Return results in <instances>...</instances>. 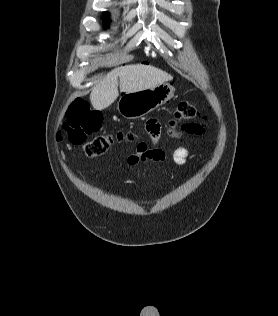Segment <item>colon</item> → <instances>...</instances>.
I'll return each instance as SVG.
<instances>
[{"label": "colon", "mask_w": 278, "mask_h": 316, "mask_svg": "<svg viewBox=\"0 0 278 316\" xmlns=\"http://www.w3.org/2000/svg\"><path fill=\"white\" fill-rule=\"evenodd\" d=\"M67 120L64 124V132L74 144H83L86 136L100 130L102 115L89 108L83 99H76L71 103L67 111ZM203 115L196 107L188 102H178L173 117L168 122V134L179 138L183 134L196 135L202 129L200 122ZM135 133L132 131L118 132L114 135L101 134L88 141L84 150L88 157L96 158L103 155L114 143L134 141Z\"/></svg>", "instance_id": "colon-1"}]
</instances>
